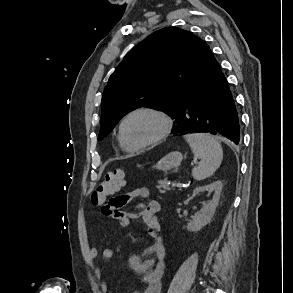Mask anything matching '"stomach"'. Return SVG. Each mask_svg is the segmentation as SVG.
<instances>
[{"instance_id": "1", "label": "stomach", "mask_w": 293, "mask_h": 293, "mask_svg": "<svg viewBox=\"0 0 293 293\" xmlns=\"http://www.w3.org/2000/svg\"><path fill=\"white\" fill-rule=\"evenodd\" d=\"M183 159V156L178 151H173L165 155L163 158H161L156 165L153 166V168H156L158 170H162L164 172H169L173 168L179 166L181 164V161Z\"/></svg>"}]
</instances>
